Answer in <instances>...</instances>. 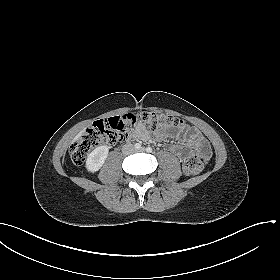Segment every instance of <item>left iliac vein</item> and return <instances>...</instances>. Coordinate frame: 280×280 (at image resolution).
<instances>
[{"label": "left iliac vein", "mask_w": 280, "mask_h": 280, "mask_svg": "<svg viewBox=\"0 0 280 280\" xmlns=\"http://www.w3.org/2000/svg\"><path fill=\"white\" fill-rule=\"evenodd\" d=\"M144 150H145L144 148H141L139 151H140V152H143Z\"/></svg>", "instance_id": "1"}]
</instances>
